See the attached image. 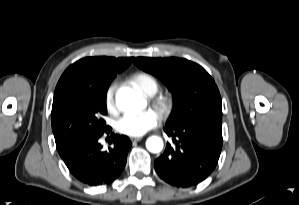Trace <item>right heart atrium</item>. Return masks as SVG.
<instances>
[{
	"label": "right heart atrium",
	"mask_w": 299,
	"mask_h": 205,
	"mask_svg": "<svg viewBox=\"0 0 299 205\" xmlns=\"http://www.w3.org/2000/svg\"><path fill=\"white\" fill-rule=\"evenodd\" d=\"M115 91H116V85L111 84L106 89L105 96H104L105 107L111 113L115 112L116 110Z\"/></svg>",
	"instance_id": "right-heart-atrium-1"
}]
</instances>
